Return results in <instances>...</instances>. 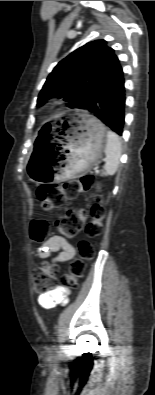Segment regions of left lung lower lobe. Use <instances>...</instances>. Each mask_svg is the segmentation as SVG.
I'll return each instance as SVG.
<instances>
[{
	"label": "left lung lower lobe",
	"mask_w": 155,
	"mask_h": 395,
	"mask_svg": "<svg viewBox=\"0 0 155 395\" xmlns=\"http://www.w3.org/2000/svg\"><path fill=\"white\" fill-rule=\"evenodd\" d=\"M125 79L120 63L99 83L93 93L81 102L84 109L118 135H122L125 110Z\"/></svg>",
	"instance_id": "0a47b994"
}]
</instances>
